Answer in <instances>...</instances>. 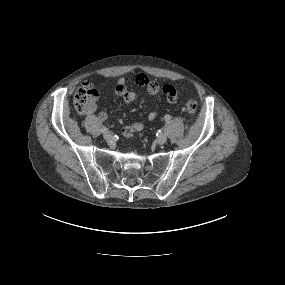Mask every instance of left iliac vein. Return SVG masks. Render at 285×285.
Segmentation results:
<instances>
[{
  "label": "left iliac vein",
  "instance_id": "left-iliac-vein-1",
  "mask_svg": "<svg viewBox=\"0 0 285 285\" xmlns=\"http://www.w3.org/2000/svg\"><path fill=\"white\" fill-rule=\"evenodd\" d=\"M156 141L158 144H164L167 141V137H166V135L161 134L157 137Z\"/></svg>",
  "mask_w": 285,
  "mask_h": 285
}]
</instances>
